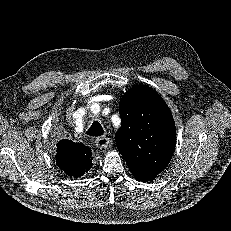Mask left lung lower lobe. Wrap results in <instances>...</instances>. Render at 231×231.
<instances>
[{"label":"left lung lower lobe","instance_id":"1","mask_svg":"<svg viewBox=\"0 0 231 231\" xmlns=\"http://www.w3.org/2000/svg\"><path fill=\"white\" fill-rule=\"evenodd\" d=\"M137 180H138V179H137ZM151 180H153V179L139 180V181H151Z\"/></svg>","mask_w":231,"mask_h":231}]
</instances>
